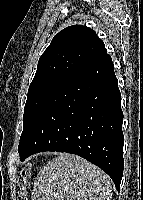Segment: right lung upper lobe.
I'll use <instances>...</instances> for the list:
<instances>
[{
	"instance_id": "cb5924a9",
	"label": "right lung upper lobe",
	"mask_w": 143,
	"mask_h": 200,
	"mask_svg": "<svg viewBox=\"0 0 143 200\" xmlns=\"http://www.w3.org/2000/svg\"><path fill=\"white\" fill-rule=\"evenodd\" d=\"M106 56L105 45L94 30L69 26L56 34L40 57L33 81L51 75L69 76Z\"/></svg>"
}]
</instances>
